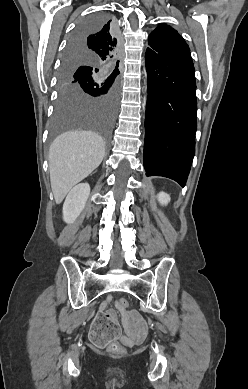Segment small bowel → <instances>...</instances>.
Returning <instances> with one entry per match:
<instances>
[{
  "label": "small bowel",
  "instance_id": "small-bowel-1",
  "mask_svg": "<svg viewBox=\"0 0 248 389\" xmlns=\"http://www.w3.org/2000/svg\"><path fill=\"white\" fill-rule=\"evenodd\" d=\"M112 295L107 296L106 300L101 304V310L105 311L107 306L113 302ZM117 308L121 313L123 329L126 336H122L121 339L128 344L138 343L146 334L145 323L136 311L126 312L117 303ZM110 318H116V313L113 311L108 312Z\"/></svg>",
  "mask_w": 248,
  "mask_h": 389
}]
</instances>
